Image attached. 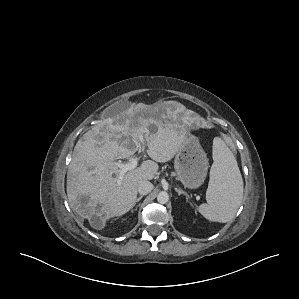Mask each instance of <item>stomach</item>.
<instances>
[{"instance_id": "stomach-1", "label": "stomach", "mask_w": 299, "mask_h": 299, "mask_svg": "<svg viewBox=\"0 0 299 299\" xmlns=\"http://www.w3.org/2000/svg\"><path fill=\"white\" fill-rule=\"evenodd\" d=\"M174 167L185 187L195 189L203 184L209 163L198 138L193 134L184 135V141L175 156Z\"/></svg>"}]
</instances>
